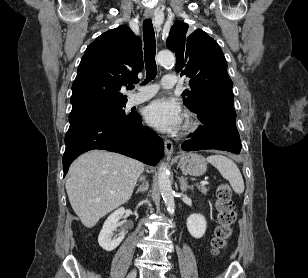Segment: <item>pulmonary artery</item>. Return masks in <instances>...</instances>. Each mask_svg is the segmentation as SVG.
<instances>
[{
	"label": "pulmonary artery",
	"mask_w": 308,
	"mask_h": 278,
	"mask_svg": "<svg viewBox=\"0 0 308 278\" xmlns=\"http://www.w3.org/2000/svg\"><path fill=\"white\" fill-rule=\"evenodd\" d=\"M176 81V77L173 74H166L162 78L161 86L167 89L173 88L176 85ZM157 90L158 85L156 84L144 86L139 89L138 93H135L130 97L128 103L130 106H134L145 102L152 98L157 93Z\"/></svg>",
	"instance_id": "pulmonary-artery-1"
}]
</instances>
